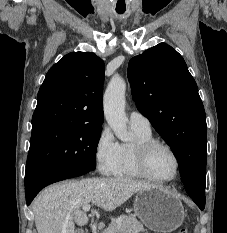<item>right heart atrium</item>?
<instances>
[{"label":"right heart atrium","instance_id":"d8ad5b80","mask_svg":"<svg viewBox=\"0 0 227 233\" xmlns=\"http://www.w3.org/2000/svg\"><path fill=\"white\" fill-rule=\"evenodd\" d=\"M98 170L104 175H115L121 161V145L108 126H103L94 145Z\"/></svg>","mask_w":227,"mask_h":233}]
</instances>
